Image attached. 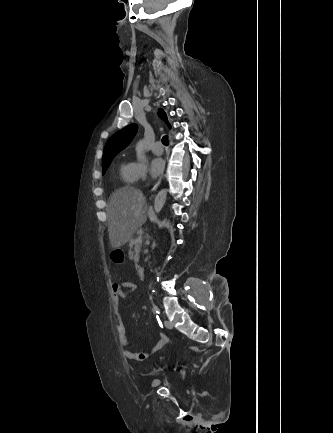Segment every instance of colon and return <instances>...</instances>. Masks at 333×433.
Returning <instances> with one entry per match:
<instances>
[{
	"mask_svg": "<svg viewBox=\"0 0 333 433\" xmlns=\"http://www.w3.org/2000/svg\"><path fill=\"white\" fill-rule=\"evenodd\" d=\"M111 258H113L114 265H123L124 263V249H111Z\"/></svg>",
	"mask_w": 333,
	"mask_h": 433,
	"instance_id": "1",
	"label": "colon"
}]
</instances>
